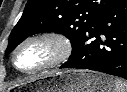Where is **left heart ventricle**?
I'll return each instance as SVG.
<instances>
[{
    "instance_id": "left-heart-ventricle-1",
    "label": "left heart ventricle",
    "mask_w": 127,
    "mask_h": 92,
    "mask_svg": "<svg viewBox=\"0 0 127 92\" xmlns=\"http://www.w3.org/2000/svg\"><path fill=\"white\" fill-rule=\"evenodd\" d=\"M54 46L46 41L25 45L17 55L16 63L23 70H31L47 64L54 57Z\"/></svg>"
}]
</instances>
